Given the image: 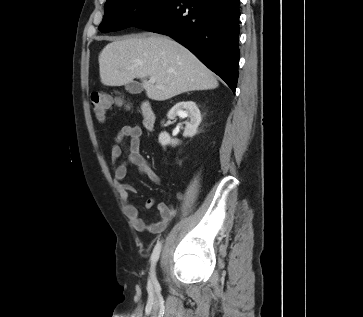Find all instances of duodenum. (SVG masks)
<instances>
[{"instance_id":"1","label":"duodenum","mask_w":363,"mask_h":317,"mask_svg":"<svg viewBox=\"0 0 363 317\" xmlns=\"http://www.w3.org/2000/svg\"><path fill=\"white\" fill-rule=\"evenodd\" d=\"M143 115V125L148 130H153L156 122V115L152 106L145 102L141 107Z\"/></svg>"}]
</instances>
